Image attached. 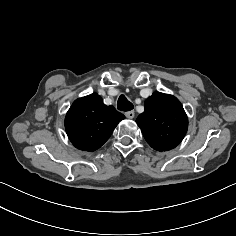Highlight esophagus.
I'll return each instance as SVG.
<instances>
[{
    "instance_id": "1",
    "label": "esophagus",
    "mask_w": 236,
    "mask_h": 236,
    "mask_svg": "<svg viewBox=\"0 0 236 236\" xmlns=\"http://www.w3.org/2000/svg\"><path fill=\"white\" fill-rule=\"evenodd\" d=\"M125 116L129 119H132L135 116V112L134 111L125 112Z\"/></svg>"
}]
</instances>
